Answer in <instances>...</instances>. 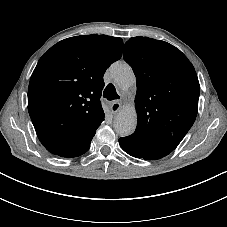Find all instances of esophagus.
Here are the masks:
<instances>
[{
  "mask_svg": "<svg viewBox=\"0 0 227 227\" xmlns=\"http://www.w3.org/2000/svg\"><path fill=\"white\" fill-rule=\"evenodd\" d=\"M121 103L120 102H114V103H112V105H111V111H112V113H117L119 110H120V108H121Z\"/></svg>",
  "mask_w": 227,
  "mask_h": 227,
  "instance_id": "34e87169",
  "label": "esophagus"
}]
</instances>
